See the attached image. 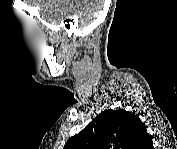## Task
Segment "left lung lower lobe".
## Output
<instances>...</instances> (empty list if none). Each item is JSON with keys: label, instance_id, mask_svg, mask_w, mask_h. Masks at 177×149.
<instances>
[{"label": "left lung lower lobe", "instance_id": "0a47b994", "mask_svg": "<svg viewBox=\"0 0 177 149\" xmlns=\"http://www.w3.org/2000/svg\"><path fill=\"white\" fill-rule=\"evenodd\" d=\"M143 147L146 149H152V140L148 133L144 136Z\"/></svg>", "mask_w": 177, "mask_h": 149}]
</instances>
